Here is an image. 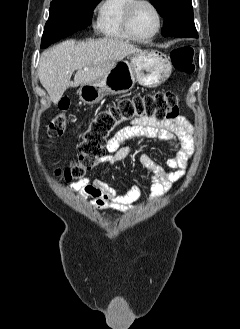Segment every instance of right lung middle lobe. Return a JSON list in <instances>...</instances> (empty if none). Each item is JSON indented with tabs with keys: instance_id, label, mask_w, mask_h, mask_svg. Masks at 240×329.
<instances>
[{
	"instance_id": "obj_1",
	"label": "right lung middle lobe",
	"mask_w": 240,
	"mask_h": 329,
	"mask_svg": "<svg viewBox=\"0 0 240 329\" xmlns=\"http://www.w3.org/2000/svg\"><path fill=\"white\" fill-rule=\"evenodd\" d=\"M101 0H58L50 4V15L42 36L46 48L91 24L95 4Z\"/></svg>"
}]
</instances>
